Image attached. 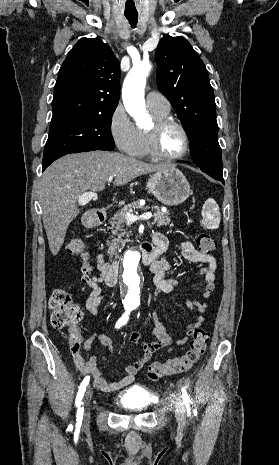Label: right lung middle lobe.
Segmentation results:
<instances>
[{
    "instance_id": "dd1d6c3e",
    "label": "right lung middle lobe",
    "mask_w": 279,
    "mask_h": 465,
    "mask_svg": "<svg viewBox=\"0 0 279 465\" xmlns=\"http://www.w3.org/2000/svg\"><path fill=\"white\" fill-rule=\"evenodd\" d=\"M114 111L51 124L42 165L49 166L61 156L82 152L89 146H106L114 149L110 128Z\"/></svg>"
}]
</instances>
